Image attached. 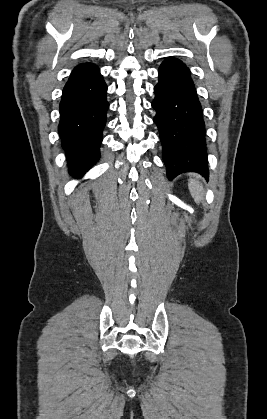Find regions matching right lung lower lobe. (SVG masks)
I'll list each match as a JSON object with an SVG mask.
<instances>
[{"mask_svg":"<svg viewBox=\"0 0 267 419\" xmlns=\"http://www.w3.org/2000/svg\"><path fill=\"white\" fill-rule=\"evenodd\" d=\"M106 94L107 85L99 68L92 63L76 66L64 86L58 132L69 173L76 178L99 160L109 108Z\"/></svg>","mask_w":267,"mask_h":419,"instance_id":"1","label":"right lung lower lobe"}]
</instances>
